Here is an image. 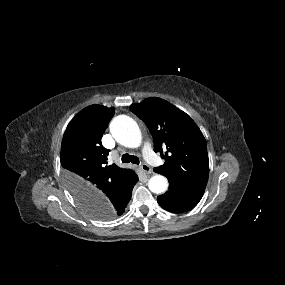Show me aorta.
<instances>
[{
	"mask_svg": "<svg viewBox=\"0 0 285 285\" xmlns=\"http://www.w3.org/2000/svg\"><path fill=\"white\" fill-rule=\"evenodd\" d=\"M110 131L118 143L128 148L140 146L142 135L138 124L129 116H116L110 123ZM149 190L163 194L168 188V180L163 175H154L148 182Z\"/></svg>",
	"mask_w": 285,
	"mask_h": 285,
	"instance_id": "obj_1",
	"label": "aorta"
}]
</instances>
